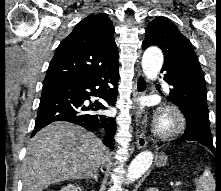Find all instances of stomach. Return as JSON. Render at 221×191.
<instances>
[{"instance_id":"0dacf381","label":"stomach","mask_w":221,"mask_h":191,"mask_svg":"<svg viewBox=\"0 0 221 191\" xmlns=\"http://www.w3.org/2000/svg\"><path fill=\"white\" fill-rule=\"evenodd\" d=\"M167 160H168V157L164 153H161L157 158L156 164L160 167L165 166L167 163Z\"/></svg>"}]
</instances>
